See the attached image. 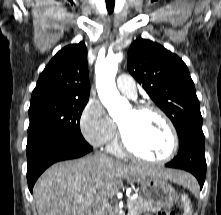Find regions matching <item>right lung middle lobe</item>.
<instances>
[{
  "label": "right lung middle lobe",
  "instance_id": "right-lung-middle-lobe-1",
  "mask_svg": "<svg viewBox=\"0 0 221 215\" xmlns=\"http://www.w3.org/2000/svg\"><path fill=\"white\" fill-rule=\"evenodd\" d=\"M87 102L88 100H61L30 105L27 146L57 136L84 139L79 122Z\"/></svg>",
  "mask_w": 221,
  "mask_h": 215
}]
</instances>
